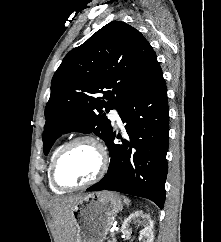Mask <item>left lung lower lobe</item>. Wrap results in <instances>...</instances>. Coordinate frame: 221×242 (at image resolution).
Here are the masks:
<instances>
[{
	"label": "left lung lower lobe",
	"mask_w": 221,
	"mask_h": 242,
	"mask_svg": "<svg viewBox=\"0 0 221 242\" xmlns=\"http://www.w3.org/2000/svg\"><path fill=\"white\" fill-rule=\"evenodd\" d=\"M126 134L116 132L105 143L111 157L107 174L88 191L113 190L144 197L163 208L167 176L169 108L159 66L151 78L118 109Z\"/></svg>",
	"instance_id": "0a47b994"
}]
</instances>
